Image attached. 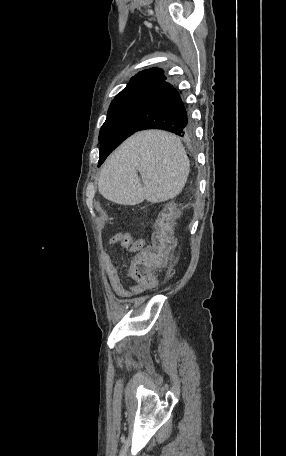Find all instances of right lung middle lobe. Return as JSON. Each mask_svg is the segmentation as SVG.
Returning <instances> with one entry per match:
<instances>
[{"instance_id": "1", "label": "right lung middle lobe", "mask_w": 286, "mask_h": 456, "mask_svg": "<svg viewBox=\"0 0 286 456\" xmlns=\"http://www.w3.org/2000/svg\"><path fill=\"white\" fill-rule=\"evenodd\" d=\"M131 129L128 124L126 106L122 99L112 101L105 123L99 133V164L128 136Z\"/></svg>"}]
</instances>
